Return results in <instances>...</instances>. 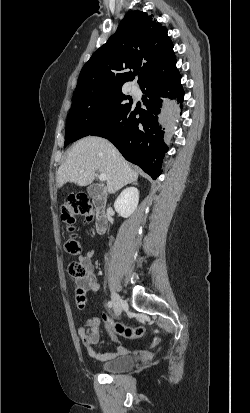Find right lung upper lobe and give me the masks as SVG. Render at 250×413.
Listing matches in <instances>:
<instances>
[{
	"label": "right lung upper lobe",
	"mask_w": 250,
	"mask_h": 413,
	"mask_svg": "<svg viewBox=\"0 0 250 413\" xmlns=\"http://www.w3.org/2000/svg\"><path fill=\"white\" fill-rule=\"evenodd\" d=\"M133 69L134 72H125ZM139 73L138 83L176 70L167 29L142 11L125 15L116 32L84 65L75 94L122 88Z\"/></svg>",
	"instance_id": "right-lung-upper-lobe-1"
}]
</instances>
